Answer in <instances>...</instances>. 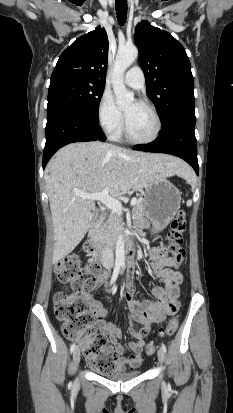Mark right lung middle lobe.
<instances>
[{
	"label": "right lung middle lobe",
	"instance_id": "dd1d6c3e",
	"mask_svg": "<svg viewBox=\"0 0 233 413\" xmlns=\"http://www.w3.org/2000/svg\"><path fill=\"white\" fill-rule=\"evenodd\" d=\"M103 90L104 85L75 79L51 82L47 111L57 108L71 109L99 121L98 106Z\"/></svg>",
	"mask_w": 233,
	"mask_h": 413
}]
</instances>
